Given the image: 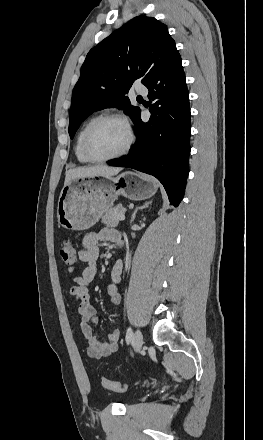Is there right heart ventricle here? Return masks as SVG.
Listing matches in <instances>:
<instances>
[{
  "mask_svg": "<svg viewBox=\"0 0 263 440\" xmlns=\"http://www.w3.org/2000/svg\"><path fill=\"white\" fill-rule=\"evenodd\" d=\"M97 117H91L89 118L80 128V130L77 133L76 139H75V145H74V153H75V157L78 160V162L82 163V164H88L91 163L92 161L89 160L84 152H83V148H82V142H83V137L84 134L87 130V128L89 127V125L96 119Z\"/></svg>",
  "mask_w": 263,
  "mask_h": 440,
  "instance_id": "right-heart-ventricle-1",
  "label": "right heart ventricle"
}]
</instances>
